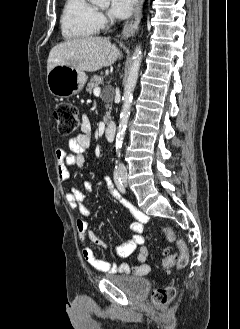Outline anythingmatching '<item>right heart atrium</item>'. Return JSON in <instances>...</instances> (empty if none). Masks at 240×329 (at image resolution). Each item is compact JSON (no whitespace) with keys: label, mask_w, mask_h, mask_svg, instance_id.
<instances>
[{"label":"right heart atrium","mask_w":240,"mask_h":329,"mask_svg":"<svg viewBox=\"0 0 240 329\" xmlns=\"http://www.w3.org/2000/svg\"><path fill=\"white\" fill-rule=\"evenodd\" d=\"M97 20L100 28L106 27L110 23V18L101 11L97 12Z\"/></svg>","instance_id":"1"}]
</instances>
